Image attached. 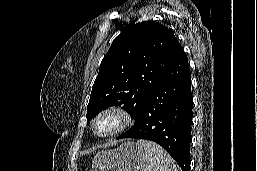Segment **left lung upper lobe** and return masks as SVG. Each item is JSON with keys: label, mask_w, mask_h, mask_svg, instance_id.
Segmentation results:
<instances>
[{"label": "left lung upper lobe", "mask_w": 257, "mask_h": 171, "mask_svg": "<svg viewBox=\"0 0 257 171\" xmlns=\"http://www.w3.org/2000/svg\"><path fill=\"white\" fill-rule=\"evenodd\" d=\"M181 49L171 30L154 21L126 29L112 42L100 64L87 106V122L116 105L136 120Z\"/></svg>", "instance_id": "5c2ea615"}]
</instances>
